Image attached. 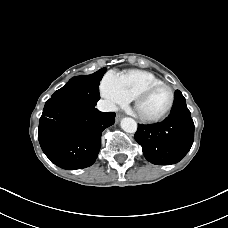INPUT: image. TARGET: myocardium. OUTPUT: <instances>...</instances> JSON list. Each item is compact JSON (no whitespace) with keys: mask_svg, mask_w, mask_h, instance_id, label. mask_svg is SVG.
I'll return each mask as SVG.
<instances>
[{"mask_svg":"<svg viewBox=\"0 0 228 228\" xmlns=\"http://www.w3.org/2000/svg\"><path fill=\"white\" fill-rule=\"evenodd\" d=\"M159 87H165L169 90L171 98H170V103L168 105V107L165 109L164 112H162L160 115L154 116V117H147V116H143L138 112V104L140 103V101L142 99H144L150 92H152L153 90L159 88ZM134 101V109L135 112L138 116V118L145 122V123H157L162 121L163 119H165L170 112L173 109L174 103H175V92L173 90V88L171 86H169L166 83H153V84H149L147 86H145L143 89H141L133 98Z\"/></svg>","mask_w":228,"mask_h":228,"instance_id":"1","label":"myocardium"}]
</instances>
